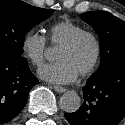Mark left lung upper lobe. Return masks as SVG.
I'll use <instances>...</instances> for the list:
<instances>
[{"label":"left lung upper lobe","instance_id":"5c2ea615","mask_svg":"<svg viewBox=\"0 0 125 125\" xmlns=\"http://www.w3.org/2000/svg\"><path fill=\"white\" fill-rule=\"evenodd\" d=\"M80 17L101 39L100 66L91 77L112 66L125 65V22L106 11L86 12Z\"/></svg>","mask_w":125,"mask_h":125}]
</instances>
